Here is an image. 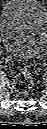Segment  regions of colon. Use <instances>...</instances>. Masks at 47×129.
Instances as JSON below:
<instances>
[{
	"instance_id": "colon-1",
	"label": "colon",
	"mask_w": 47,
	"mask_h": 129,
	"mask_svg": "<svg viewBox=\"0 0 47 129\" xmlns=\"http://www.w3.org/2000/svg\"><path fill=\"white\" fill-rule=\"evenodd\" d=\"M12 87L18 93H27L31 90L33 78L28 69L24 68L14 76Z\"/></svg>"
}]
</instances>
